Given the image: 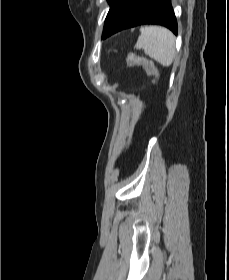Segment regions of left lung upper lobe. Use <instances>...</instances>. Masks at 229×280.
Instances as JSON below:
<instances>
[{
  "label": "left lung upper lobe",
  "mask_w": 229,
  "mask_h": 280,
  "mask_svg": "<svg viewBox=\"0 0 229 280\" xmlns=\"http://www.w3.org/2000/svg\"><path fill=\"white\" fill-rule=\"evenodd\" d=\"M128 1L129 0H108L110 10L105 20L103 33L107 31L118 19Z\"/></svg>",
  "instance_id": "1"
}]
</instances>
